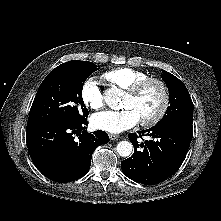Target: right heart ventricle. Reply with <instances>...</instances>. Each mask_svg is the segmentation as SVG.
Returning a JSON list of instances; mask_svg holds the SVG:
<instances>
[{"label":"right heart ventricle","mask_w":221,"mask_h":221,"mask_svg":"<svg viewBox=\"0 0 221 221\" xmlns=\"http://www.w3.org/2000/svg\"><path fill=\"white\" fill-rule=\"evenodd\" d=\"M147 77H149L147 73L130 67H119L109 70L102 75V78L112 87L125 91Z\"/></svg>","instance_id":"1"}]
</instances>
